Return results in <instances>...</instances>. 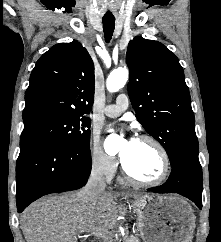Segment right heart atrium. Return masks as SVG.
Returning a JSON list of instances; mask_svg holds the SVG:
<instances>
[{
    "label": "right heart atrium",
    "mask_w": 221,
    "mask_h": 242,
    "mask_svg": "<svg viewBox=\"0 0 221 242\" xmlns=\"http://www.w3.org/2000/svg\"><path fill=\"white\" fill-rule=\"evenodd\" d=\"M89 160L91 167L107 178L113 177L119 166L118 158L108 154L95 135L89 145Z\"/></svg>",
    "instance_id": "obj_1"
}]
</instances>
